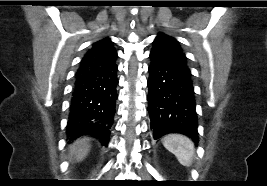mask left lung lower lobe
<instances>
[{"label":"left lung lower lobe","instance_id":"left-lung-lower-lobe-1","mask_svg":"<svg viewBox=\"0 0 267 186\" xmlns=\"http://www.w3.org/2000/svg\"><path fill=\"white\" fill-rule=\"evenodd\" d=\"M148 111L154 139L181 133L198 143L196 102L191 74L151 55Z\"/></svg>","mask_w":267,"mask_h":186}]
</instances>
